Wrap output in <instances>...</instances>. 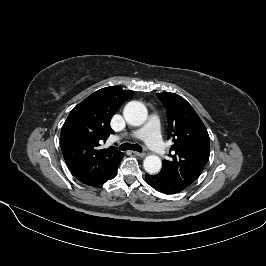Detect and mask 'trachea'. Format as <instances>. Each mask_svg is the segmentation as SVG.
I'll list each match as a JSON object with an SVG mask.
<instances>
[{
	"instance_id": "trachea-1",
	"label": "trachea",
	"mask_w": 266,
	"mask_h": 266,
	"mask_svg": "<svg viewBox=\"0 0 266 266\" xmlns=\"http://www.w3.org/2000/svg\"><path fill=\"white\" fill-rule=\"evenodd\" d=\"M119 149L122 151L134 150L137 152H142V147L139 144L123 143L122 145H120Z\"/></svg>"
}]
</instances>
